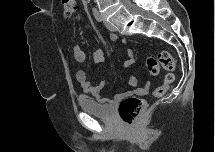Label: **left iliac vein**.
Listing matches in <instances>:
<instances>
[{
	"label": "left iliac vein",
	"mask_w": 215,
	"mask_h": 152,
	"mask_svg": "<svg viewBox=\"0 0 215 152\" xmlns=\"http://www.w3.org/2000/svg\"><path fill=\"white\" fill-rule=\"evenodd\" d=\"M101 18H102V20H103L105 26H106L110 31H116L115 26H114L113 24H111L110 22H108V21L106 20V18H105L104 15H101Z\"/></svg>",
	"instance_id": "obj_1"
}]
</instances>
